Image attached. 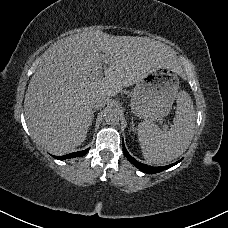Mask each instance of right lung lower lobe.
<instances>
[{
  "mask_svg": "<svg viewBox=\"0 0 228 228\" xmlns=\"http://www.w3.org/2000/svg\"><path fill=\"white\" fill-rule=\"evenodd\" d=\"M88 152V149L84 150V151H79V152H73L64 156H54L56 159L59 160H64V159H70V158H74V157H81L84 156L86 153Z\"/></svg>",
  "mask_w": 228,
  "mask_h": 228,
  "instance_id": "obj_1",
  "label": "right lung lower lobe"
}]
</instances>
